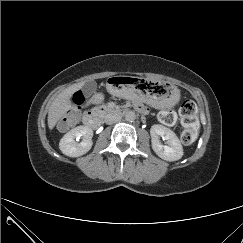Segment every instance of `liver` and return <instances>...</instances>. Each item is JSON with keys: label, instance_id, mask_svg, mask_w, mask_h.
Returning <instances> with one entry per match:
<instances>
[{"label": "liver", "instance_id": "6515ba94", "mask_svg": "<svg viewBox=\"0 0 243 243\" xmlns=\"http://www.w3.org/2000/svg\"><path fill=\"white\" fill-rule=\"evenodd\" d=\"M84 86V82L73 84L62 91L52 102L48 112V127L52 130L57 122L71 109V97Z\"/></svg>", "mask_w": 243, "mask_h": 243}]
</instances>
